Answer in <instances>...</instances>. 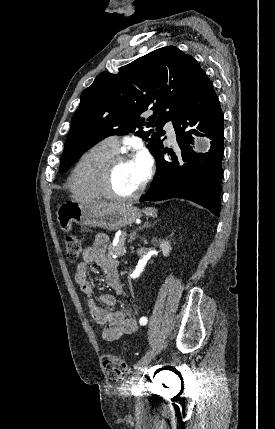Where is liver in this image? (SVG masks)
<instances>
[{"label":"liver","instance_id":"obj_1","mask_svg":"<svg viewBox=\"0 0 275 429\" xmlns=\"http://www.w3.org/2000/svg\"><path fill=\"white\" fill-rule=\"evenodd\" d=\"M74 201L82 204L85 207L91 208V209H102L106 207L113 206L114 204H108V203H102V202H84L77 197H73Z\"/></svg>","mask_w":275,"mask_h":429}]
</instances>
